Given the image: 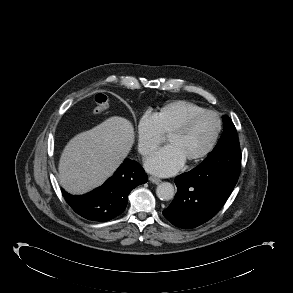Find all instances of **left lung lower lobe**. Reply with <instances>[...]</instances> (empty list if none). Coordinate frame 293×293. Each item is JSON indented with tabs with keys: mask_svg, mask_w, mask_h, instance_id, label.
Returning a JSON list of instances; mask_svg holds the SVG:
<instances>
[{
	"mask_svg": "<svg viewBox=\"0 0 293 293\" xmlns=\"http://www.w3.org/2000/svg\"><path fill=\"white\" fill-rule=\"evenodd\" d=\"M241 169V151L228 152L215 164L199 165L175 178V198L163 211L173 225L191 229L216 215L233 191Z\"/></svg>",
	"mask_w": 293,
	"mask_h": 293,
	"instance_id": "left-lung-lower-lobe-1",
	"label": "left lung lower lobe"
}]
</instances>
